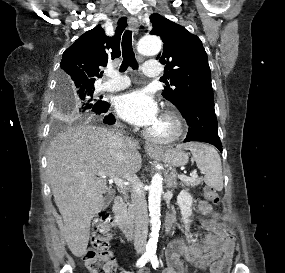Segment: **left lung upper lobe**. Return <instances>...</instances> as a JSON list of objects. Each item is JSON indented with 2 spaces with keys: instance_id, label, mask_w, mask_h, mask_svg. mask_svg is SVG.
<instances>
[{
  "instance_id": "obj_1",
  "label": "left lung upper lobe",
  "mask_w": 285,
  "mask_h": 273,
  "mask_svg": "<svg viewBox=\"0 0 285 273\" xmlns=\"http://www.w3.org/2000/svg\"><path fill=\"white\" fill-rule=\"evenodd\" d=\"M151 34L162 38L164 48L157 59L165 64L163 97L178 109L192 103L214 102L207 54L196 35L159 14L150 16Z\"/></svg>"
}]
</instances>
